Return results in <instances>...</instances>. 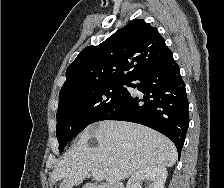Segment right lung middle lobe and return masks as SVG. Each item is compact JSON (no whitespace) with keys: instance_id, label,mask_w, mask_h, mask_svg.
<instances>
[{"instance_id":"right-lung-middle-lobe-1","label":"right lung middle lobe","mask_w":224,"mask_h":188,"mask_svg":"<svg viewBox=\"0 0 224 188\" xmlns=\"http://www.w3.org/2000/svg\"><path fill=\"white\" fill-rule=\"evenodd\" d=\"M129 81H110L60 92L56 136L61 153L89 124L101 120L128 95Z\"/></svg>"}]
</instances>
